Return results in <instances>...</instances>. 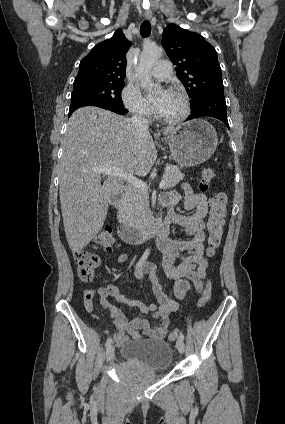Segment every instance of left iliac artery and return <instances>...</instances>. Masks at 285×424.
Wrapping results in <instances>:
<instances>
[{"mask_svg":"<svg viewBox=\"0 0 285 424\" xmlns=\"http://www.w3.org/2000/svg\"><path fill=\"white\" fill-rule=\"evenodd\" d=\"M179 338L184 340V334L182 332L179 334Z\"/></svg>","mask_w":285,"mask_h":424,"instance_id":"1","label":"left iliac artery"}]
</instances>
